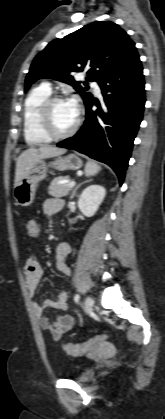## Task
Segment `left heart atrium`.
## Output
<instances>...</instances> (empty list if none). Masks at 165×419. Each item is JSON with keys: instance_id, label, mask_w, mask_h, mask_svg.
Here are the masks:
<instances>
[{"instance_id": "left-heart-atrium-1", "label": "left heart atrium", "mask_w": 165, "mask_h": 419, "mask_svg": "<svg viewBox=\"0 0 165 419\" xmlns=\"http://www.w3.org/2000/svg\"><path fill=\"white\" fill-rule=\"evenodd\" d=\"M68 103L70 104V106H71V108H72V110H73L74 114H75L76 116H78V114H79V106H78V102H77V100H76V99H74V98H72V99H70V100L68 101Z\"/></svg>"}]
</instances>
